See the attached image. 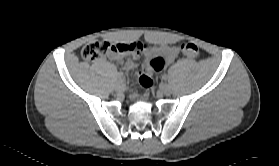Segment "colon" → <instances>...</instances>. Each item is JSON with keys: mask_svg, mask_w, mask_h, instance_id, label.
Segmentation results:
<instances>
[{"mask_svg": "<svg viewBox=\"0 0 279 166\" xmlns=\"http://www.w3.org/2000/svg\"><path fill=\"white\" fill-rule=\"evenodd\" d=\"M179 49L180 52L188 58L194 59L199 55V48L191 42L181 43ZM141 52L142 45L139 43L112 44L105 41H94L83 47L81 56L84 60L93 62L109 54L122 56L126 54H139ZM158 63L157 57H151L148 60V67L155 68ZM139 84L145 90H148L153 86V79L149 71H145L140 74Z\"/></svg>", "mask_w": 279, "mask_h": 166, "instance_id": "1", "label": "colon"}]
</instances>
